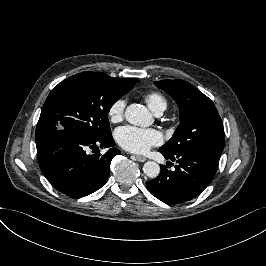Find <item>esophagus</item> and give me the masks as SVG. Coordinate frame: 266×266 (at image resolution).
Here are the masks:
<instances>
[{"label":"esophagus","mask_w":266,"mask_h":266,"mask_svg":"<svg viewBox=\"0 0 266 266\" xmlns=\"http://www.w3.org/2000/svg\"><path fill=\"white\" fill-rule=\"evenodd\" d=\"M134 158L139 162H145L147 160L146 157L140 156V155H134Z\"/></svg>","instance_id":"obj_1"}]
</instances>
